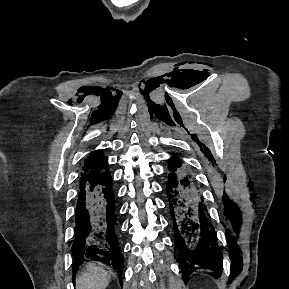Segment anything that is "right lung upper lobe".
Instances as JSON below:
<instances>
[{"label": "right lung upper lobe", "mask_w": 289, "mask_h": 289, "mask_svg": "<svg viewBox=\"0 0 289 289\" xmlns=\"http://www.w3.org/2000/svg\"><path fill=\"white\" fill-rule=\"evenodd\" d=\"M107 167L108 163L102 152L99 150L93 151L84 162L81 180L96 176L106 170Z\"/></svg>", "instance_id": "cb5924a9"}]
</instances>
